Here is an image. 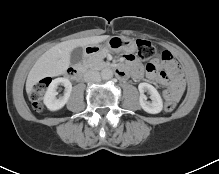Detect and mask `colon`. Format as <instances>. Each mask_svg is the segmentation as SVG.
I'll use <instances>...</instances> for the list:
<instances>
[{
	"instance_id": "1",
	"label": "colon",
	"mask_w": 219,
	"mask_h": 174,
	"mask_svg": "<svg viewBox=\"0 0 219 174\" xmlns=\"http://www.w3.org/2000/svg\"><path fill=\"white\" fill-rule=\"evenodd\" d=\"M158 55L156 48L147 40L137 41V57L140 60H149ZM51 83V78L47 77L40 80L34 85L30 94L32 106L35 110L41 111L43 109V95L45 94L48 86ZM176 107V103L173 101H167L164 104V110L166 112H172Z\"/></svg>"
}]
</instances>
